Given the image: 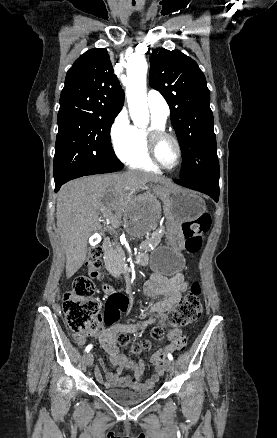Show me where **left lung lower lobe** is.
<instances>
[{
  "mask_svg": "<svg viewBox=\"0 0 277 438\" xmlns=\"http://www.w3.org/2000/svg\"><path fill=\"white\" fill-rule=\"evenodd\" d=\"M177 184L185 186L187 188L200 191L209 195L216 202L219 199V183L216 182H189L183 180H174Z\"/></svg>",
  "mask_w": 277,
  "mask_h": 438,
  "instance_id": "obj_1",
  "label": "left lung lower lobe"
}]
</instances>
